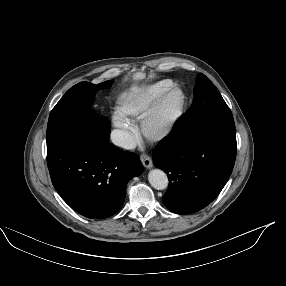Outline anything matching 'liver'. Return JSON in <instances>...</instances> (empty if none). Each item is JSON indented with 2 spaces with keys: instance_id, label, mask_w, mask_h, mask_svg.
<instances>
[{
  "instance_id": "liver-1",
  "label": "liver",
  "mask_w": 286,
  "mask_h": 286,
  "mask_svg": "<svg viewBox=\"0 0 286 286\" xmlns=\"http://www.w3.org/2000/svg\"><path fill=\"white\" fill-rule=\"evenodd\" d=\"M144 74L143 73H137L134 75V79L136 80H140V79H143L144 78Z\"/></svg>"
}]
</instances>
